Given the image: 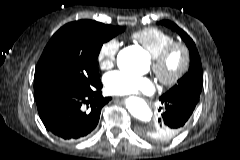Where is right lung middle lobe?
Segmentation results:
<instances>
[{"instance_id":"dd1d6c3e","label":"right lung middle lobe","mask_w":240,"mask_h":160,"mask_svg":"<svg viewBox=\"0 0 240 160\" xmlns=\"http://www.w3.org/2000/svg\"><path fill=\"white\" fill-rule=\"evenodd\" d=\"M123 31V27L92 20H79L61 27L38 61L34 91L54 84L72 90L94 87L100 81L96 59L103 43Z\"/></svg>"}]
</instances>
